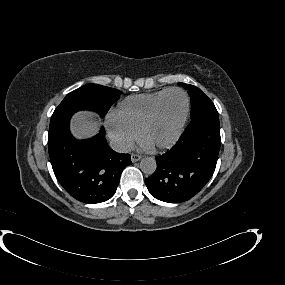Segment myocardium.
Wrapping results in <instances>:
<instances>
[{"label": "myocardium", "mask_w": 285, "mask_h": 285, "mask_svg": "<svg viewBox=\"0 0 285 285\" xmlns=\"http://www.w3.org/2000/svg\"><path fill=\"white\" fill-rule=\"evenodd\" d=\"M178 91L180 93H182L185 97L186 100V109H185V113L179 123L178 129L175 133V135L173 136L172 139H170L168 142H165L163 144L157 145L153 148V150H161V149H166L171 147L180 137L183 128L186 124V121L188 119L189 113H190V98L189 95L187 94V92L181 88L178 87H172L167 89L163 95L158 99V101L154 104L150 114L148 115V117L146 118V120L143 122V124L141 125L139 131H138V137L140 139H142V135L145 132V130L154 122V120L156 119L159 110L162 106V103L164 102L165 98L171 93V92H175Z\"/></svg>", "instance_id": "myocardium-1"}]
</instances>
